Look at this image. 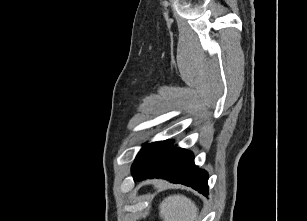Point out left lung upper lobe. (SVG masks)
Segmentation results:
<instances>
[{"label": "left lung upper lobe", "instance_id": "5c2ea615", "mask_svg": "<svg viewBox=\"0 0 307 221\" xmlns=\"http://www.w3.org/2000/svg\"><path fill=\"white\" fill-rule=\"evenodd\" d=\"M172 144L173 141L166 140L162 142L149 143L146 146H143L132 165L133 177L156 160Z\"/></svg>", "mask_w": 307, "mask_h": 221}]
</instances>
